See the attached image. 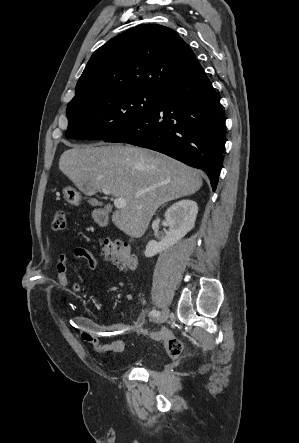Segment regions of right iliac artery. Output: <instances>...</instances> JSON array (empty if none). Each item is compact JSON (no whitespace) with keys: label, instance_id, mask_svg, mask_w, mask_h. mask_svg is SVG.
I'll use <instances>...</instances> for the list:
<instances>
[{"label":"right iliac artery","instance_id":"1","mask_svg":"<svg viewBox=\"0 0 299 443\" xmlns=\"http://www.w3.org/2000/svg\"><path fill=\"white\" fill-rule=\"evenodd\" d=\"M159 315H160V312L157 310H151L149 312V316H151V317H158Z\"/></svg>","mask_w":299,"mask_h":443}]
</instances>
